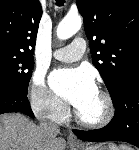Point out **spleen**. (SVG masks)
Returning a JSON list of instances; mask_svg holds the SVG:
<instances>
[{"label":"spleen","instance_id":"spleen-1","mask_svg":"<svg viewBox=\"0 0 139 150\" xmlns=\"http://www.w3.org/2000/svg\"><path fill=\"white\" fill-rule=\"evenodd\" d=\"M121 149L122 150H129V148H127L126 146H122Z\"/></svg>","mask_w":139,"mask_h":150}]
</instances>
